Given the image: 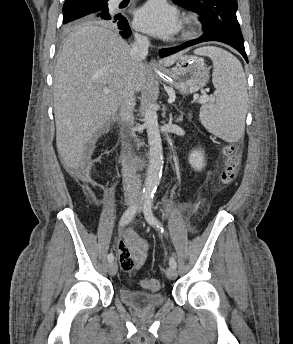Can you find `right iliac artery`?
<instances>
[{"label": "right iliac artery", "mask_w": 293, "mask_h": 344, "mask_svg": "<svg viewBox=\"0 0 293 344\" xmlns=\"http://www.w3.org/2000/svg\"><path fill=\"white\" fill-rule=\"evenodd\" d=\"M138 209V204H134L133 206L129 207L122 215L120 220V227L128 224L135 216ZM109 262H112L114 260V256L112 253H110L107 257Z\"/></svg>", "instance_id": "1"}]
</instances>
